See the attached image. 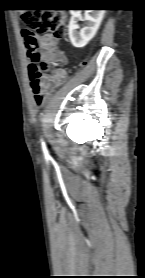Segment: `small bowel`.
I'll list each match as a JSON object with an SVG mask.
<instances>
[{
  "label": "small bowel",
  "instance_id": "1",
  "mask_svg": "<svg viewBox=\"0 0 145 278\" xmlns=\"http://www.w3.org/2000/svg\"><path fill=\"white\" fill-rule=\"evenodd\" d=\"M37 40L40 44H51L53 43L56 47L59 45V39L50 35L45 34L37 37ZM42 73V78L39 81L40 87L45 95H49L55 88L62 85L67 79L66 70L63 68H56L51 71H45L44 69H40ZM56 80V84H49L50 81Z\"/></svg>",
  "mask_w": 145,
  "mask_h": 278
}]
</instances>
